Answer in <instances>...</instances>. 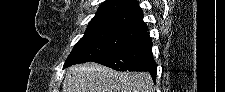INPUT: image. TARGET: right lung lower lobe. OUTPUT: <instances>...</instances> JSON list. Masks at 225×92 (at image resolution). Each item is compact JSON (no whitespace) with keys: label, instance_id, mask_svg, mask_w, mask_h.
Wrapping results in <instances>:
<instances>
[{"label":"right lung lower lobe","instance_id":"right-lung-lower-lobe-1","mask_svg":"<svg viewBox=\"0 0 225 92\" xmlns=\"http://www.w3.org/2000/svg\"><path fill=\"white\" fill-rule=\"evenodd\" d=\"M91 62L120 71H148L156 82V63L152 54V40L148 33L96 57Z\"/></svg>","mask_w":225,"mask_h":92}]
</instances>
